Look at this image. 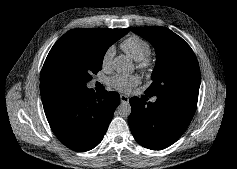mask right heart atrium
Returning <instances> with one entry per match:
<instances>
[{"label": "right heart atrium", "mask_w": 237, "mask_h": 169, "mask_svg": "<svg viewBox=\"0 0 237 169\" xmlns=\"http://www.w3.org/2000/svg\"><path fill=\"white\" fill-rule=\"evenodd\" d=\"M114 52H115V49L113 46H109L105 49L103 56H102V65L104 67L110 66Z\"/></svg>", "instance_id": "1"}]
</instances>
